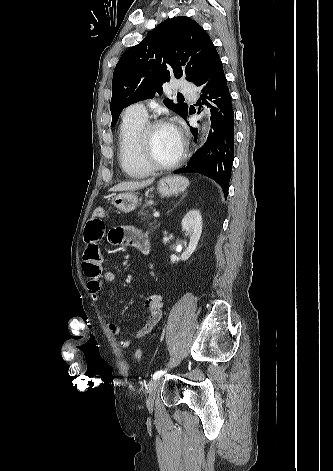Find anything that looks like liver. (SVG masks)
I'll use <instances>...</instances> for the list:
<instances>
[{"label":"liver","instance_id":"obj_1","mask_svg":"<svg viewBox=\"0 0 333 471\" xmlns=\"http://www.w3.org/2000/svg\"><path fill=\"white\" fill-rule=\"evenodd\" d=\"M153 181H154L153 179H149L147 181H142V182H133V181L122 182L112 187L111 191H134V190L141 189V188L151 185Z\"/></svg>","mask_w":333,"mask_h":471}]
</instances>
